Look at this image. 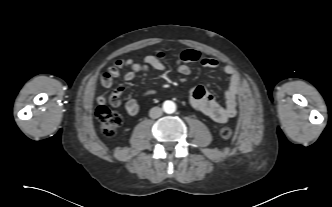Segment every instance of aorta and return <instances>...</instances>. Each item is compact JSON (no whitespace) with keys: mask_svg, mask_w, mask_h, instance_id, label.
I'll use <instances>...</instances> for the list:
<instances>
[{"mask_svg":"<svg viewBox=\"0 0 332 207\" xmlns=\"http://www.w3.org/2000/svg\"><path fill=\"white\" fill-rule=\"evenodd\" d=\"M163 110L167 114H172L176 110V104L173 101H165L163 103Z\"/></svg>","mask_w":332,"mask_h":207,"instance_id":"aorta-1","label":"aorta"}]
</instances>
